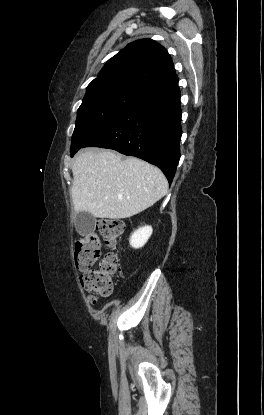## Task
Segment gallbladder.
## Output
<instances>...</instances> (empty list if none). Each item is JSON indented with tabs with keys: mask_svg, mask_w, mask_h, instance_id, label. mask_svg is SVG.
<instances>
[{
	"mask_svg": "<svg viewBox=\"0 0 264 415\" xmlns=\"http://www.w3.org/2000/svg\"><path fill=\"white\" fill-rule=\"evenodd\" d=\"M95 218L88 212H78L76 215V229L82 236L89 235L93 231Z\"/></svg>",
	"mask_w": 264,
	"mask_h": 415,
	"instance_id": "bac80fb5",
	"label": "gallbladder"
}]
</instances>
